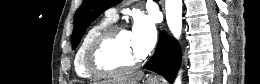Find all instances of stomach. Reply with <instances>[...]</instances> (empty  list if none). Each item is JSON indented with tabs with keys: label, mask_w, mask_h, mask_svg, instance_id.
<instances>
[{
	"label": "stomach",
	"mask_w": 260,
	"mask_h": 84,
	"mask_svg": "<svg viewBox=\"0 0 260 84\" xmlns=\"http://www.w3.org/2000/svg\"><path fill=\"white\" fill-rule=\"evenodd\" d=\"M147 84H158V83H156V82H154V81H151V80H148V81H147Z\"/></svg>",
	"instance_id": "1"
}]
</instances>
